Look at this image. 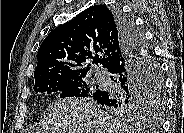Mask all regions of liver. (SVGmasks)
Segmentation results:
<instances>
[{"label":"liver","instance_id":"obj_1","mask_svg":"<svg viewBox=\"0 0 184 133\" xmlns=\"http://www.w3.org/2000/svg\"><path fill=\"white\" fill-rule=\"evenodd\" d=\"M40 133H139L89 98H63L47 108Z\"/></svg>","mask_w":184,"mask_h":133}]
</instances>
